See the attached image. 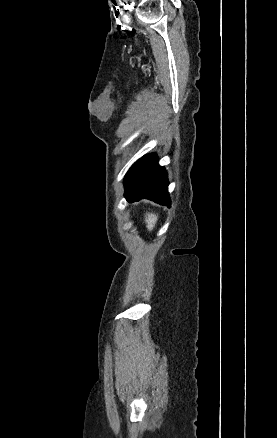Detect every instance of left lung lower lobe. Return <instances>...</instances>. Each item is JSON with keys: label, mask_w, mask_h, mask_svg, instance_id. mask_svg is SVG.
<instances>
[{"label": "left lung lower lobe", "mask_w": 277, "mask_h": 438, "mask_svg": "<svg viewBox=\"0 0 277 438\" xmlns=\"http://www.w3.org/2000/svg\"><path fill=\"white\" fill-rule=\"evenodd\" d=\"M124 185L125 198L129 202L146 198L170 207L167 173L158 165L155 154L143 156L135 162L125 176Z\"/></svg>", "instance_id": "obj_1"}]
</instances>
